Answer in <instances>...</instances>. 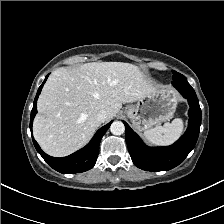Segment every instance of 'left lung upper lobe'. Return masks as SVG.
<instances>
[{"label":"left lung upper lobe","mask_w":224,"mask_h":224,"mask_svg":"<svg viewBox=\"0 0 224 224\" xmlns=\"http://www.w3.org/2000/svg\"><path fill=\"white\" fill-rule=\"evenodd\" d=\"M173 72V80L178 79L182 76V74L177 73L176 71H172Z\"/></svg>","instance_id":"obj_1"}]
</instances>
